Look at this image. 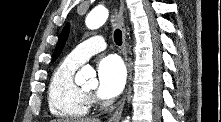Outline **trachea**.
I'll list each match as a JSON object with an SVG mask.
<instances>
[{"mask_svg": "<svg viewBox=\"0 0 221 122\" xmlns=\"http://www.w3.org/2000/svg\"><path fill=\"white\" fill-rule=\"evenodd\" d=\"M114 41L115 43L120 46L122 44V32L119 29L114 31Z\"/></svg>", "mask_w": 221, "mask_h": 122, "instance_id": "1", "label": "trachea"}]
</instances>
